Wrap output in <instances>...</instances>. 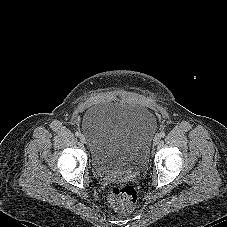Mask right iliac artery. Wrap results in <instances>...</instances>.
<instances>
[{
  "mask_svg": "<svg viewBox=\"0 0 227 227\" xmlns=\"http://www.w3.org/2000/svg\"><path fill=\"white\" fill-rule=\"evenodd\" d=\"M75 135L78 137V136L81 135V133L80 132H76Z\"/></svg>",
  "mask_w": 227,
  "mask_h": 227,
  "instance_id": "obj_1",
  "label": "right iliac artery"
}]
</instances>
